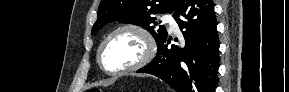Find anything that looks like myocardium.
<instances>
[{"instance_id": "myocardium-1", "label": "myocardium", "mask_w": 289, "mask_h": 92, "mask_svg": "<svg viewBox=\"0 0 289 92\" xmlns=\"http://www.w3.org/2000/svg\"><path fill=\"white\" fill-rule=\"evenodd\" d=\"M123 31L133 32L140 37V39L142 40V42L144 44V53H143L142 57L135 64H133L129 67L120 69V70L110 71L103 64L102 53H103L104 47L106 46L108 41L114 35H116L120 32H123ZM156 51H157V46H156V42H155V39L152 36V34L145 27H143L139 24L128 23V24H123V25L116 27L115 29H113L111 32H109L105 36V38L100 43L98 51H97V62L99 64L100 68L106 74L122 75V74L137 71V70L143 68L144 66H146L147 64H149L153 60V58L155 57Z\"/></svg>"}]
</instances>
